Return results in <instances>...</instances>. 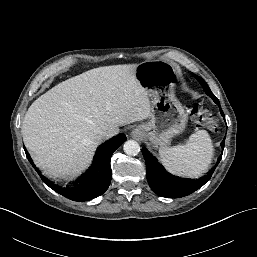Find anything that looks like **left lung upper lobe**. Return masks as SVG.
<instances>
[{"instance_id": "1", "label": "left lung upper lobe", "mask_w": 257, "mask_h": 257, "mask_svg": "<svg viewBox=\"0 0 257 257\" xmlns=\"http://www.w3.org/2000/svg\"><path fill=\"white\" fill-rule=\"evenodd\" d=\"M196 79L199 81V83L202 85L204 91L206 92L207 95H209L214 102L218 101V99L214 96V94L211 92L210 88L208 87V85L204 82V80L198 76H195Z\"/></svg>"}]
</instances>
